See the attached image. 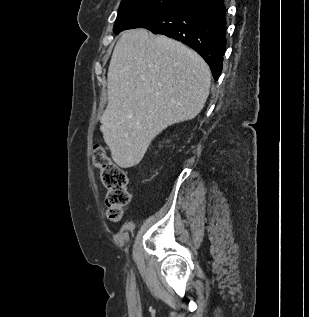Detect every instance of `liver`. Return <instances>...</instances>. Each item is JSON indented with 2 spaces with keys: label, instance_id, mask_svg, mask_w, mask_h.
I'll return each mask as SVG.
<instances>
[{
  "label": "liver",
  "instance_id": "obj_1",
  "mask_svg": "<svg viewBox=\"0 0 309 317\" xmlns=\"http://www.w3.org/2000/svg\"><path fill=\"white\" fill-rule=\"evenodd\" d=\"M107 82L100 130L114 162L128 168L141 161L165 128L200 113L211 72L200 55L182 43L134 29L116 43Z\"/></svg>",
  "mask_w": 309,
  "mask_h": 317
}]
</instances>
